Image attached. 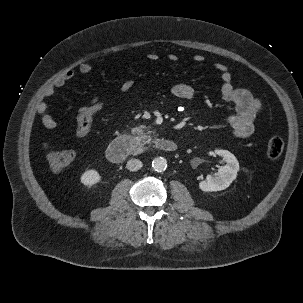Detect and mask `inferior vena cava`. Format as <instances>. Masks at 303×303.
<instances>
[{"label": "inferior vena cava", "mask_w": 303, "mask_h": 303, "mask_svg": "<svg viewBox=\"0 0 303 303\" xmlns=\"http://www.w3.org/2000/svg\"><path fill=\"white\" fill-rule=\"evenodd\" d=\"M143 166L142 162L138 159H130L127 162V169L129 171H137L139 169H141Z\"/></svg>", "instance_id": "602c4592"}]
</instances>
